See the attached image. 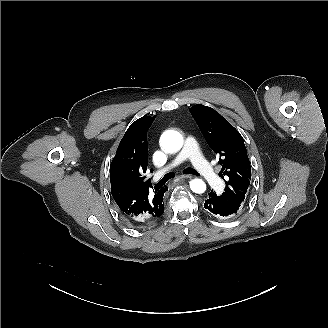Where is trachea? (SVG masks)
<instances>
[{"label": "trachea", "instance_id": "obj_1", "mask_svg": "<svg viewBox=\"0 0 328 328\" xmlns=\"http://www.w3.org/2000/svg\"><path fill=\"white\" fill-rule=\"evenodd\" d=\"M183 174H192V175H199L198 172L192 168H186L183 171ZM175 173L174 172H169L167 174L164 175V177L162 178V180L157 183L155 185V188L159 189L160 187H162L168 180L174 178Z\"/></svg>", "mask_w": 328, "mask_h": 328}]
</instances>
